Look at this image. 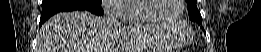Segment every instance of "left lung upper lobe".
<instances>
[{"label": "left lung upper lobe", "mask_w": 261, "mask_h": 52, "mask_svg": "<svg viewBox=\"0 0 261 52\" xmlns=\"http://www.w3.org/2000/svg\"><path fill=\"white\" fill-rule=\"evenodd\" d=\"M186 2L188 4L189 19L202 26V17L196 7L197 0H186Z\"/></svg>", "instance_id": "obj_1"}]
</instances>
